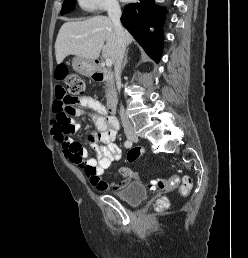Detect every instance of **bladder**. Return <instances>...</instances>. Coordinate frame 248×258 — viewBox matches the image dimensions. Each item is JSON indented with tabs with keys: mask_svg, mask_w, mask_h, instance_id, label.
I'll return each mask as SVG.
<instances>
[{
	"mask_svg": "<svg viewBox=\"0 0 248 258\" xmlns=\"http://www.w3.org/2000/svg\"><path fill=\"white\" fill-rule=\"evenodd\" d=\"M116 195L127 204L135 206L139 205L147 198L148 191L143 183L132 182L119 190Z\"/></svg>",
	"mask_w": 248,
	"mask_h": 258,
	"instance_id": "31cf9c89",
	"label": "bladder"
}]
</instances>
